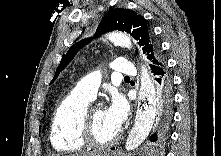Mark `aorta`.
<instances>
[{
    "label": "aorta",
    "mask_w": 221,
    "mask_h": 156,
    "mask_svg": "<svg viewBox=\"0 0 221 156\" xmlns=\"http://www.w3.org/2000/svg\"><path fill=\"white\" fill-rule=\"evenodd\" d=\"M109 40L115 45H123L129 41V37L122 33H115L109 37ZM144 73L145 78L142 81V96L138 116L126 142L127 150H133L143 143L149 135L154 122L152 99L155 89L147 69H144Z\"/></svg>",
    "instance_id": "obj_1"
}]
</instances>
